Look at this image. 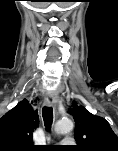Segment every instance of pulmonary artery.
<instances>
[{
    "instance_id": "1",
    "label": "pulmonary artery",
    "mask_w": 118,
    "mask_h": 151,
    "mask_svg": "<svg viewBox=\"0 0 118 151\" xmlns=\"http://www.w3.org/2000/svg\"><path fill=\"white\" fill-rule=\"evenodd\" d=\"M73 143V139L72 138H65L62 141V144H72Z\"/></svg>"
}]
</instances>
